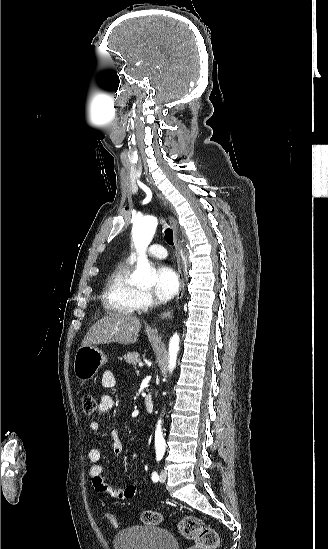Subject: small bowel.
<instances>
[{"label": "small bowel", "mask_w": 328, "mask_h": 549, "mask_svg": "<svg viewBox=\"0 0 328 549\" xmlns=\"http://www.w3.org/2000/svg\"><path fill=\"white\" fill-rule=\"evenodd\" d=\"M102 386L104 388H113L116 384V378L113 372L106 371L102 375ZM114 407V399L110 395H103L98 404V412L102 415L108 414ZM89 428L93 432H97L101 428V424L97 420H92L89 424ZM116 432L112 433L115 436ZM122 444L118 439L114 438L112 446V456L114 459L118 458L122 453ZM132 458L137 461L138 454L134 452ZM101 451L97 448H92L88 452L89 475L92 479V484L98 493L105 494L111 498L118 500H129L135 497L137 493V487L134 484L128 485L124 488H114L113 486L105 483L103 476V467L100 464Z\"/></svg>", "instance_id": "c3829d8e"}]
</instances>
